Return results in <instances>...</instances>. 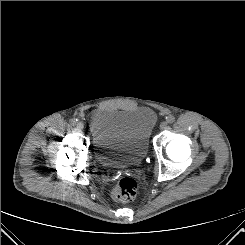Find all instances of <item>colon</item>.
<instances>
[{
  "mask_svg": "<svg viewBox=\"0 0 245 245\" xmlns=\"http://www.w3.org/2000/svg\"><path fill=\"white\" fill-rule=\"evenodd\" d=\"M137 182L130 177L121 178L112 188L111 197L119 202H130L137 194Z\"/></svg>",
  "mask_w": 245,
  "mask_h": 245,
  "instance_id": "1",
  "label": "colon"
}]
</instances>
